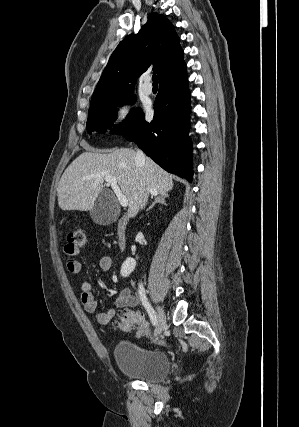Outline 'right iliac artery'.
Segmentation results:
<instances>
[{"label":"right iliac artery","mask_w":299,"mask_h":427,"mask_svg":"<svg viewBox=\"0 0 299 427\" xmlns=\"http://www.w3.org/2000/svg\"><path fill=\"white\" fill-rule=\"evenodd\" d=\"M138 294H139V297H140V300H141L143 306L145 307L146 311L149 314V317H150L152 324L155 326L157 324V317H156L154 309L151 307L150 303L148 302V299H147L146 294H145V289H144L142 283H139V285H138Z\"/></svg>","instance_id":"right-iliac-artery-1"}]
</instances>
